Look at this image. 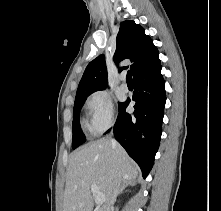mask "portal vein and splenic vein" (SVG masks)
<instances>
[{
  "instance_id": "18ae733b",
  "label": "portal vein and splenic vein",
  "mask_w": 221,
  "mask_h": 211,
  "mask_svg": "<svg viewBox=\"0 0 221 211\" xmlns=\"http://www.w3.org/2000/svg\"><path fill=\"white\" fill-rule=\"evenodd\" d=\"M91 191L93 193V196L95 197V202L97 204H103L105 201V196L102 192L99 191L98 187L96 185H92Z\"/></svg>"
}]
</instances>
